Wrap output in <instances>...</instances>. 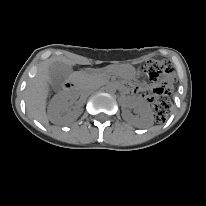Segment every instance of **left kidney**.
Instances as JSON below:
<instances>
[{"instance_id":"left-kidney-1","label":"left kidney","mask_w":206,"mask_h":206,"mask_svg":"<svg viewBox=\"0 0 206 206\" xmlns=\"http://www.w3.org/2000/svg\"><path fill=\"white\" fill-rule=\"evenodd\" d=\"M127 108H137L138 116H133L129 110L123 112L126 121L131 122L136 127L148 128L153 125V116L148 102L142 98L129 97L126 102Z\"/></svg>"}]
</instances>
